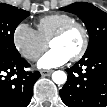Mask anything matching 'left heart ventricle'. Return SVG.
<instances>
[{"label": "left heart ventricle", "mask_w": 107, "mask_h": 107, "mask_svg": "<svg viewBox=\"0 0 107 107\" xmlns=\"http://www.w3.org/2000/svg\"><path fill=\"white\" fill-rule=\"evenodd\" d=\"M83 44V33L80 28L70 29L62 38L51 42L50 47L59 49L69 57L76 54Z\"/></svg>", "instance_id": "left-heart-ventricle-1"}]
</instances>
